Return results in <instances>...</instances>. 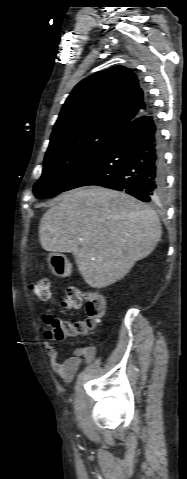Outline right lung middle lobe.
<instances>
[{
  "label": "right lung middle lobe",
  "instance_id": "dd1d6c3e",
  "mask_svg": "<svg viewBox=\"0 0 187 479\" xmlns=\"http://www.w3.org/2000/svg\"><path fill=\"white\" fill-rule=\"evenodd\" d=\"M121 131L110 125L98 124L72 129L51 138L42 176L34 185L35 196L50 198L64 191Z\"/></svg>",
  "mask_w": 187,
  "mask_h": 479
}]
</instances>
